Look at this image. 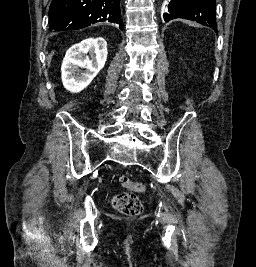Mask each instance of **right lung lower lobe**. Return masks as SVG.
Here are the masks:
<instances>
[{"label":"right lung lower lobe","instance_id":"obj_1","mask_svg":"<svg viewBox=\"0 0 256 267\" xmlns=\"http://www.w3.org/2000/svg\"><path fill=\"white\" fill-rule=\"evenodd\" d=\"M102 21L123 29L120 0H52L50 5L49 30L81 29Z\"/></svg>","mask_w":256,"mask_h":267}]
</instances>
